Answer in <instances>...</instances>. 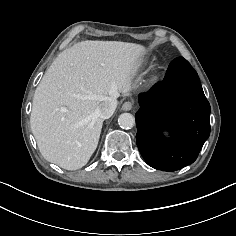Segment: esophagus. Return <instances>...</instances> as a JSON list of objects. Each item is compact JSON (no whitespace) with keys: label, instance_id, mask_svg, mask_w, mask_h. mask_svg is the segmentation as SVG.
I'll return each mask as SVG.
<instances>
[{"label":"esophagus","instance_id":"esophagus-1","mask_svg":"<svg viewBox=\"0 0 236 236\" xmlns=\"http://www.w3.org/2000/svg\"><path fill=\"white\" fill-rule=\"evenodd\" d=\"M133 107V103L132 102H125L123 105H122V110L123 111H129L131 110Z\"/></svg>","mask_w":236,"mask_h":236}]
</instances>
